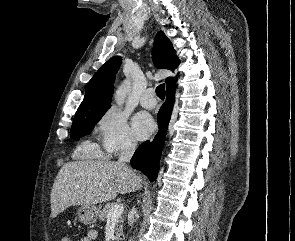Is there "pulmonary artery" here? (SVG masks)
<instances>
[{
	"label": "pulmonary artery",
	"mask_w": 295,
	"mask_h": 241,
	"mask_svg": "<svg viewBox=\"0 0 295 241\" xmlns=\"http://www.w3.org/2000/svg\"><path fill=\"white\" fill-rule=\"evenodd\" d=\"M152 89L146 90L140 98V104L146 109H153L156 106V99Z\"/></svg>",
	"instance_id": "obj_1"
}]
</instances>
